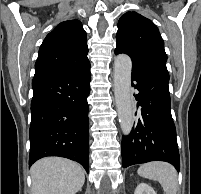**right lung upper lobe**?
<instances>
[{
    "label": "right lung upper lobe",
    "instance_id": "obj_1",
    "mask_svg": "<svg viewBox=\"0 0 201 194\" xmlns=\"http://www.w3.org/2000/svg\"><path fill=\"white\" fill-rule=\"evenodd\" d=\"M86 32L78 20L60 23L44 39L35 63V75L75 74L90 67Z\"/></svg>",
    "mask_w": 201,
    "mask_h": 194
}]
</instances>
